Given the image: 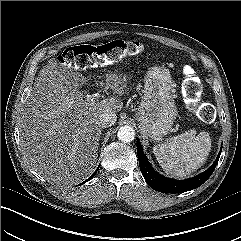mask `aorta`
<instances>
[{
    "instance_id": "1",
    "label": "aorta",
    "mask_w": 241,
    "mask_h": 241,
    "mask_svg": "<svg viewBox=\"0 0 241 241\" xmlns=\"http://www.w3.org/2000/svg\"><path fill=\"white\" fill-rule=\"evenodd\" d=\"M117 137L124 143H128L134 140L135 131L131 126H122L119 128Z\"/></svg>"
}]
</instances>
